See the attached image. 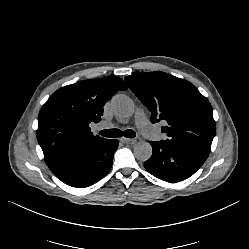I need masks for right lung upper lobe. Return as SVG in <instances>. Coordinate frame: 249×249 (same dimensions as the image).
Masks as SVG:
<instances>
[{"label": "right lung upper lobe", "instance_id": "right-lung-upper-lobe-1", "mask_svg": "<svg viewBox=\"0 0 249 249\" xmlns=\"http://www.w3.org/2000/svg\"><path fill=\"white\" fill-rule=\"evenodd\" d=\"M126 89L121 78L109 76L62 87L50 96L39 112L37 129L50 169L105 140L93 135L89 124L98 123L105 103Z\"/></svg>", "mask_w": 249, "mask_h": 249}]
</instances>
